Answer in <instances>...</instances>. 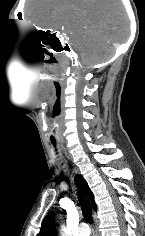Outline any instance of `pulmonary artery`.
I'll list each match as a JSON object with an SVG mask.
<instances>
[{
	"instance_id": "1",
	"label": "pulmonary artery",
	"mask_w": 145,
	"mask_h": 236,
	"mask_svg": "<svg viewBox=\"0 0 145 236\" xmlns=\"http://www.w3.org/2000/svg\"><path fill=\"white\" fill-rule=\"evenodd\" d=\"M77 233H78V236H89L90 228L85 222H83L79 225L77 229Z\"/></svg>"
}]
</instances>
